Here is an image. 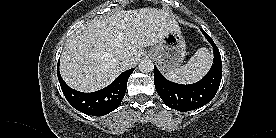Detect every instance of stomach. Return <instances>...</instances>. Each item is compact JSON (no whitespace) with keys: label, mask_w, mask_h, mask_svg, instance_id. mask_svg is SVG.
Segmentation results:
<instances>
[{"label":"stomach","mask_w":276,"mask_h":138,"mask_svg":"<svg viewBox=\"0 0 276 138\" xmlns=\"http://www.w3.org/2000/svg\"><path fill=\"white\" fill-rule=\"evenodd\" d=\"M149 54L158 62L164 72L178 68L186 55V43L180 29L171 30Z\"/></svg>","instance_id":"0dacf381"}]
</instances>
